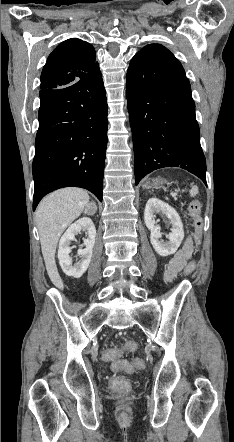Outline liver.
I'll return each mask as SVG.
<instances>
[{
    "label": "liver",
    "mask_w": 234,
    "mask_h": 442,
    "mask_svg": "<svg viewBox=\"0 0 234 442\" xmlns=\"http://www.w3.org/2000/svg\"><path fill=\"white\" fill-rule=\"evenodd\" d=\"M88 202L86 191L64 188L46 196L37 208L36 223L46 270L59 289H63V282L55 262L56 247L64 230L81 215Z\"/></svg>",
    "instance_id": "obj_1"
}]
</instances>
